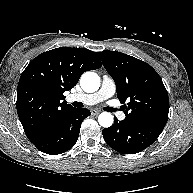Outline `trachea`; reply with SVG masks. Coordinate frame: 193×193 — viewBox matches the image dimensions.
<instances>
[{"label": "trachea", "mask_w": 193, "mask_h": 193, "mask_svg": "<svg viewBox=\"0 0 193 193\" xmlns=\"http://www.w3.org/2000/svg\"><path fill=\"white\" fill-rule=\"evenodd\" d=\"M106 110L109 112H114L116 109L112 107H106Z\"/></svg>", "instance_id": "3493384b"}]
</instances>
